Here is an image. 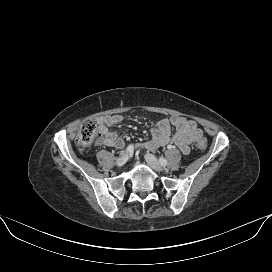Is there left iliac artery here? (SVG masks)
Wrapping results in <instances>:
<instances>
[{
	"label": "left iliac artery",
	"instance_id": "44dca946",
	"mask_svg": "<svg viewBox=\"0 0 272 272\" xmlns=\"http://www.w3.org/2000/svg\"><path fill=\"white\" fill-rule=\"evenodd\" d=\"M159 162L161 165L165 166L167 164V160L163 157H160Z\"/></svg>",
	"mask_w": 272,
	"mask_h": 272
}]
</instances>
